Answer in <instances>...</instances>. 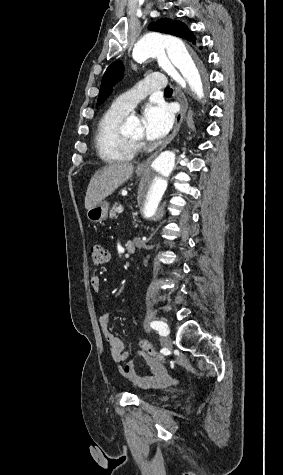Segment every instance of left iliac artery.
<instances>
[{
	"instance_id": "1",
	"label": "left iliac artery",
	"mask_w": 283,
	"mask_h": 475,
	"mask_svg": "<svg viewBox=\"0 0 283 475\" xmlns=\"http://www.w3.org/2000/svg\"><path fill=\"white\" fill-rule=\"evenodd\" d=\"M151 327L160 331V334L166 335V332L164 331V328L167 327L166 323H163L162 321H154L151 323Z\"/></svg>"
}]
</instances>
